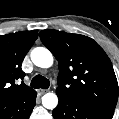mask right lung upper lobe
Wrapping results in <instances>:
<instances>
[{"instance_id": "obj_1", "label": "right lung upper lobe", "mask_w": 119, "mask_h": 119, "mask_svg": "<svg viewBox=\"0 0 119 119\" xmlns=\"http://www.w3.org/2000/svg\"><path fill=\"white\" fill-rule=\"evenodd\" d=\"M38 37L35 30L0 36V105L28 96L34 90L23 82L22 62Z\"/></svg>"}]
</instances>
